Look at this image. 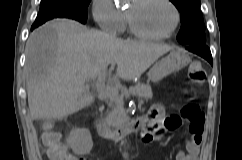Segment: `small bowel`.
Masks as SVG:
<instances>
[{"label": "small bowel", "instance_id": "obj_1", "mask_svg": "<svg viewBox=\"0 0 242 160\" xmlns=\"http://www.w3.org/2000/svg\"><path fill=\"white\" fill-rule=\"evenodd\" d=\"M147 118V122L141 132V139L145 143H150L156 139L154 131L159 123L163 124V127L159 129L160 132L175 131L181 126V119L172 115L164 118L161 111L153 113ZM203 141V126L195 131H191L190 138L185 143V152L181 151L177 154L176 160H198L200 153V146ZM66 160H76V158L68 154Z\"/></svg>", "mask_w": 242, "mask_h": 160}]
</instances>
